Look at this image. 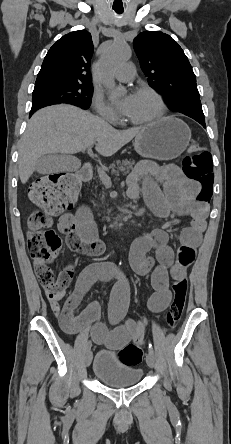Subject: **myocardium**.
<instances>
[{
	"label": "myocardium",
	"mask_w": 231,
	"mask_h": 444,
	"mask_svg": "<svg viewBox=\"0 0 231 444\" xmlns=\"http://www.w3.org/2000/svg\"><path fill=\"white\" fill-rule=\"evenodd\" d=\"M138 93H148V94H151L153 97H155V99L157 100V102L159 104V112L155 116L145 119V120H132V119H129L128 117H125V121L130 124H133V125H148V124H152V123H155V122L161 120L165 116L166 111H167V105H166V102H165L163 96L156 89H154L150 86L137 87L134 90V94H138Z\"/></svg>",
	"instance_id": "1"
}]
</instances>
